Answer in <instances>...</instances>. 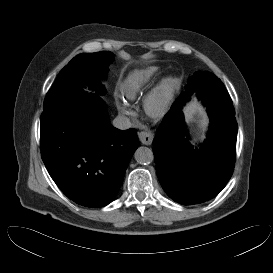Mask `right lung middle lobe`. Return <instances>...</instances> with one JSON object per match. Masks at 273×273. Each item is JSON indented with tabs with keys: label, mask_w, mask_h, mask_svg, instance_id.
<instances>
[{
	"label": "right lung middle lobe",
	"mask_w": 273,
	"mask_h": 273,
	"mask_svg": "<svg viewBox=\"0 0 273 273\" xmlns=\"http://www.w3.org/2000/svg\"><path fill=\"white\" fill-rule=\"evenodd\" d=\"M112 53L102 51L97 53H82L74 57L60 72L52 88L46 94L44 107L56 98L76 91L84 85L105 93V89L99 83L108 71L112 62Z\"/></svg>",
	"instance_id": "1"
}]
</instances>
